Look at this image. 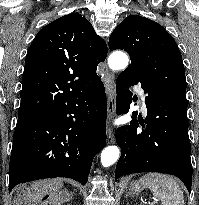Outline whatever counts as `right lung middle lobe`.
<instances>
[{
  "mask_svg": "<svg viewBox=\"0 0 199 205\" xmlns=\"http://www.w3.org/2000/svg\"><path fill=\"white\" fill-rule=\"evenodd\" d=\"M32 119H18L16 127L23 126L24 124L28 123Z\"/></svg>",
  "mask_w": 199,
  "mask_h": 205,
  "instance_id": "obj_1",
  "label": "right lung middle lobe"
}]
</instances>
